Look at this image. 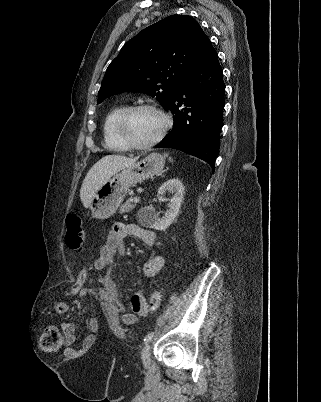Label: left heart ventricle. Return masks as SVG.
Instances as JSON below:
<instances>
[{"label":"left heart ventricle","mask_w":321,"mask_h":402,"mask_svg":"<svg viewBox=\"0 0 321 402\" xmlns=\"http://www.w3.org/2000/svg\"><path fill=\"white\" fill-rule=\"evenodd\" d=\"M163 124V118L157 112L141 110L130 116L127 132L136 143L145 144L158 136Z\"/></svg>","instance_id":"obj_1"}]
</instances>
